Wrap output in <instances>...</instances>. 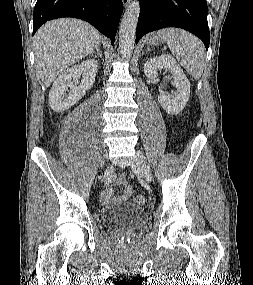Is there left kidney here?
<instances>
[{
  "instance_id": "5707ae66",
  "label": "left kidney",
  "mask_w": 253,
  "mask_h": 285,
  "mask_svg": "<svg viewBox=\"0 0 253 285\" xmlns=\"http://www.w3.org/2000/svg\"><path fill=\"white\" fill-rule=\"evenodd\" d=\"M165 69L172 75V84L177 91L174 97L160 93L158 101L168 114H179L185 107L190 97V83L176 60L169 55H161L147 60L144 64V73L149 78L158 76V71Z\"/></svg>"
}]
</instances>
